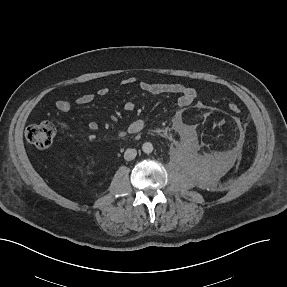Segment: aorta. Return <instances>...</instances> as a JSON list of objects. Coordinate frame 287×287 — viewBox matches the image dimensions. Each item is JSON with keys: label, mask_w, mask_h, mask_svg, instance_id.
Here are the masks:
<instances>
[{"label": "aorta", "mask_w": 287, "mask_h": 287, "mask_svg": "<svg viewBox=\"0 0 287 287\" xmlns=\"http://www.w3.org/2000/svg\"><path fill=\"white\" fill-rule=\"evenodd\" d=\"M142 150L146 154H150L153 151V145L150 142H146L142 145Z\"/></svg>", "instance_id": "762f6f07"}]
</instances>
